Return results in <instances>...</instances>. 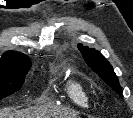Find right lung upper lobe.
<instances>
[{
    "instance_id": "right-lung-upper-lobe-1",
    "label": "right lung upper lobe",
    "mask_w": 133,
    "mask_h": 118,
    "mask_svg": "<svg viewBox=\"0 0 133 118\" xmlns=\"http://www.w3.org/2000/svg\"><path fill=\"white\" fill-rule=\"evenodd\" d=\"M23 65H31V61L28 56L19 52L8 51L0 59V69L16 68Z\"/></svg>"
}]
</instances>
